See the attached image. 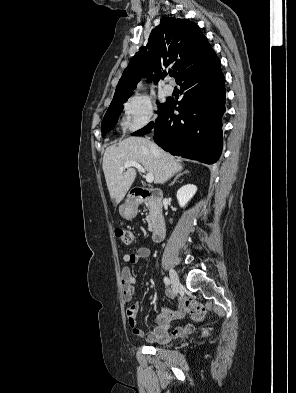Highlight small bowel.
Segmentation results:
<instances>
[{
    "label": "small bowel",
    "mask_w": 296,
    "mask_h": 393,
    "mask_svg": "<svg viewBox=\"0 0 296 393\" xmlns=\"http://www.w3.org/2000/svg\"><path fill=\"white\" fill-rule=\"evenodd\" d=\"M150 254L151 249L149 247H141L136 251L127 253L123 256V261L125 263L121 270L123 298L125 303H127L126 315L133 334L139 338L145 337L146 341L149 343L164 344L167 343L172 337H182L193 332L195 327L194 324L189 323L178 326L170 331L172 321L184 317L187 312L184 306L186 299L182 295L178 297L179 304L176 310L164 309L156 316L155 326L151 331L145 333L137 326L136 316L139 309V304L137 302H132L136 294V279L131 273L130 265L139 263L142 259L149 257ZM166 295L168 297H173V292L170 289H166Z\"/></svg>",
    "instance_id": "obj_1"
}]
</instances>
